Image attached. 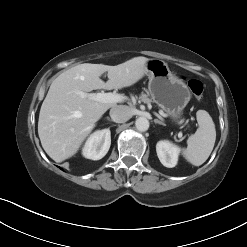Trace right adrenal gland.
Segmentation results:
<instances>
[{
	"label": "right adrenal gland",
	"instance_id": "right-adrenal-gland-1",
	"mask_svg": "<svg viewBox=\"0 0 247 247\" xmlns=\"http://www.w3.org/2000/svg\"><path fill=\"white\" fill-rule=\"evenodd\" d=\"M106 119H107L108 121H110V122L112 121L109 117H106Z\"/></svg>",
	"mask_w": 247,
	"mask_h": 247
}]
</instances>
